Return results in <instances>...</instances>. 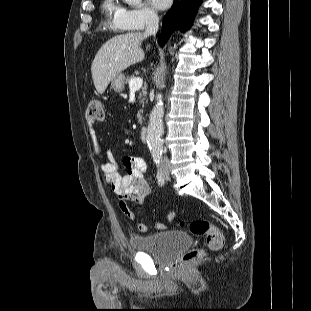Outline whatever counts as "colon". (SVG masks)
<instances>
[{
    "instance_id": "colon-1",
    "label": "colon",
    "mask_w": 311,
    "mask_h": 311,
    "mask_svg": "<svg viewBox=\"0 0 311 311\" xmlns=\"http://www.w3.org/2000/svg\"><path fill=\"white\" fill-rule=\"evenodd\" d=\"M86 117L88 121H100L103 118V106L99 99H91L88 103ZM190 232L195 236H206V245L209 250H219L224 245V236L220 229L205 219H194L190 223ZM202 249H192L183 256V263L189 264L204 256Z\"/></svg>"
}]
</instances>
